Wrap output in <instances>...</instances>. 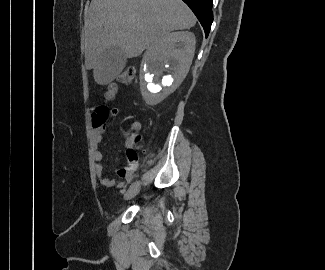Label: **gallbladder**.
I'll return each instance as SVG.
<instances>
[{"instance_id":"obj_1","label":"gallbladder","mask_w":325,"mask_h":270,"mask_svg":"<svg viewBox=\"0 0 325 270\" xmlns=\"http://www.w3.org/2000/svg\"><path fill=\"white\" fill-rule=\"evenodd\" d=\"M126 57L122 49L118 46H112L106 49L97 65V73L107 80H113L124 69Z\"/></svg>"}]
</instances>
